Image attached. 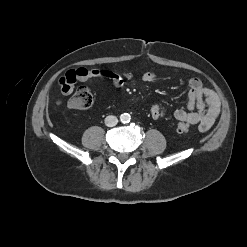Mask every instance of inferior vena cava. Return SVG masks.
<instances>
[{
  "instance_id": "602c4592",
  "label": "inferior vena cava",
  "mask_w": 247,
  "mask_h": 247,
  "mask_svg": "<svg viewBox=\"0 0 247 247\" xmlns=\"http://www.w3.org/2000/svg\"><path fill=\"white\" fill-rule=\"evenodd\" d=\"M117 123H118V119L116 116L109 115L105 118V125L108 127H113L117 125Z\"/></svg>"
}]
</instances>
